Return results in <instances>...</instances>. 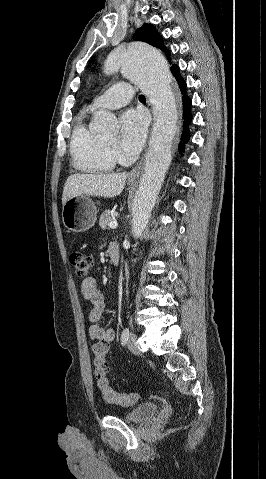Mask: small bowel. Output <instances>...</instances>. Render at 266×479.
<instances>
[{"instance_id":"small-bowel-1","label":"small bowel","mask_w":266,"mask_h":479,"mask_svg":"<svg viewBox=\"0 0 266 479\" xmlns=\"http://www.w3.org/2000/svg\"><path fill=\"white\" fill-rule=\"evenodd\" d=\"M81 292L85 300L91 305L89 313V321L91 326L89 328V335L92 339L100 341H107L111 343L115 339L114 329H105L99 325L104 313V296L101 293L96 280L93 277H87L81 282Z\"/></svg>"}]
</instances>
